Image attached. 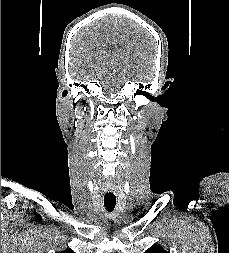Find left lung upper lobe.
Wrapping results in <instances>:
<instances>
[{"mask_svg": "<svg viewBox=\"0 0 229 253\" xmlns=\"http://www.w3.org/2000/svg\"><path fill=\"white\" fill-rule=\"evenodd\" d=\"M145 253H169L166 250H164L159 245H153L152 247L148 248Z\"/></svg>", "mask_w": 229, "mask_h": 253, "instance_id": "left-lung-upper-lobe-1", "label": "left lung upper lobe"}]
</instances>
